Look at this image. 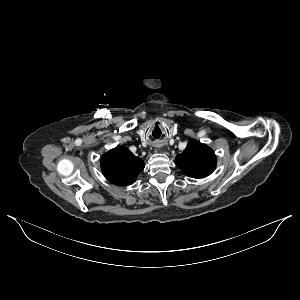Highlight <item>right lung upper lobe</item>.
<instances>
[{"mask_svg":"<svg viewBox=\"0 0 300 300\" xmlns=\"http://www.w3.org/2000/svg\"><path fill=\"white\" fill-rule=\"evenodd\" d=\"M143 169V160L124 147L111 149L101 158L104 176L115 185H131Z\"/></svg>","mask_w":300,"mask_h":300,"instance_id":"obj_1","label":"right lung upper lobe"}]
</instances>
